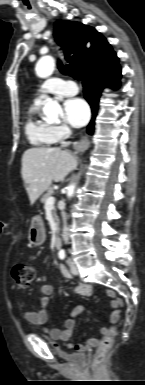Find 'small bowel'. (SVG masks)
I'll return each mask as SVG.
<instances>
[{"mask_svg":"<svg viewBox=\"0 0 145 385\" xmlns=\"http://www.w3.org/2000/svg\"><path fill=\"white\" fill-rule=\"evenodd\" d=\"M59 272L61 275L71 280L72 275L69 270L63 266L59 265ZM74 291L81 296H90L92 294V286L90 284H80L78 285ZM53 293V287L51 285H43L41 287V298H40V306L37 311H26L24 313L25 319L33 325L41 326L43 333L48 335L49 337L59 340L65 343V345L69 348H72L76 352H84L85 350L96 346L99 343V339L92 338L87 340L84 344H69L67 341L73 334L75 326L77 324V317L85 312V307L82 305L76 306L70 314V317L65 321L64 329H49L45 326L48 319V304L50 296ZM106 293L112 299V305L114 310L109 315V320L111 323H115L118 321L120 317L119 307L122 306V300L116 295L115 291L112 289H106ZM101 335L105 336L109 333L108 326H102L100 329Z\"/></svg>","mask_w":145,"mask_h":385,"instance_id":"small-bowel-1","label":"small bowel"}]
</instances>
